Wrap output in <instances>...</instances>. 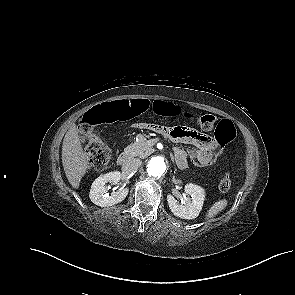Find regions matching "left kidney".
Wrapping results in <instances>:
<instances>
[{"mask_svg": "<svg viewBox=\"0 0 295 295\" xmlns=\"http://www.w3.org/2000/svg\"><path fill=\"white\" fill-rule=\"evenodd\" d=\"M185 194L190 198H184L179 203L171 194L167 195V202L171 212L182 219H195L198 217L205 198V190L195 184L189 183L185 185Z\"/></svg>", "mask_w": 295, "mask_h": 295, "instance_id": "5707ae66", "label": "left kidney"}]
</instances>
